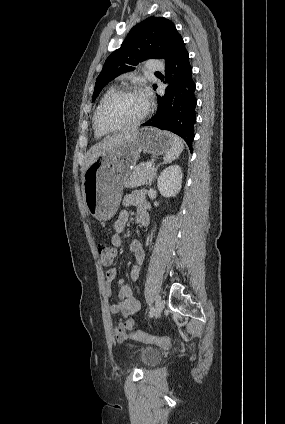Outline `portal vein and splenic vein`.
Returning a JSON list of instances; mask_svg holds the SVG:
<instances>
[{"label":"portal vein and splenic vein","instance_id":"1","mask_svg":"<svg viewBox=\"0 0 285 424\" xmlns=\"http://www.w3.org/2000/svg\"><path fill=\"white\" fill-rule=\"evenodd\" d=\"M152 165H153V162L152 161H150V162L147 163V167H152Z\"/></svg>","mask_w":285,"mask_h":424}]
</instances>
